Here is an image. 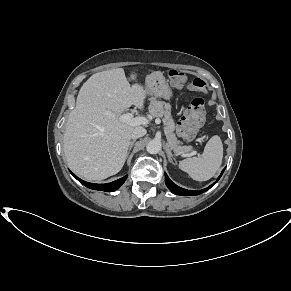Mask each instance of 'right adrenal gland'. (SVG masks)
Masks as SVG:
<instances>
[{
    "mask_svg": "<svg viewBox=\"0 0 291 291\" xmlns=\"http://www.w3.org/2000/svg\"><path fill=\"white\" fill-rule=\"evenodd\" d=\"M135 141H136V140H132V141L130 142V144H129V149H128V152H127V156H126V157H128V155H129V153H130V151H131V149H132V147H133Z\"/></svg>",
    "mask_w": 291,
    "mask_h": 291,
    "instance_id": "1",
    "label": "right adrenal gland"
}]
</instances>
